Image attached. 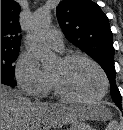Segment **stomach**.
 I'll return each mask as SVG.
<instances>
[{
    "mask_svg": "<svg viewBox=\"0 0 123 130\" xmlns=\"http://www.w3.org/2000/svg\"><path fill=\"white\" fill-rule=\"evenodd\" d=\"M68 130H93V129L89 124L82 121H77L72 123V125Z\"/></svg>",
    "mask_w": 123,
    "mask_h": 130,
    "instance_id": "obj_1",
    "label": "stomach"
}]
</instances>
